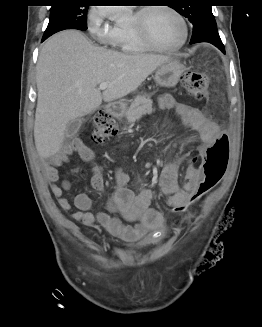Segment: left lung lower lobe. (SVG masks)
Masks as SVG:
<instances>
[{
    "label": "left lung lower lobe",
    "instance_id": "1",
    "mask_svg": "<svg viewBox=\"0 0 262 327\" xmlns=\"http://www.w3.org/2000/svg\"><path fill=\"white\" fill-rule=\"evenodd\" d=\"M209 42L218 47L224 54L225 48L217 32L216 21L213 17L206 18L194 30L190 44Z\"/></svg>",
    "mask_w": 262,
    "mask_h": 327
}]
</instances>
